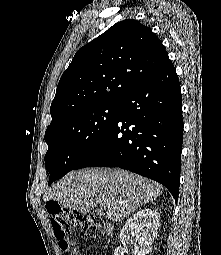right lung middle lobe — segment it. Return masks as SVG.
<instances>
[{
	"mask_svg": "<svg viewBox=\"0 0 221 255\" xmlns=\"http://www.w3.org/2000/svg\"><path fill=\"white\" fill-rule=\"evenodd\" d=\"M119 108V103L87 107L46 130L49 185L74 169L113 123Z\"/></svg>",
	"mask_w": 221,
	"mask_h": 255,
	"instance_id": "right-lung-middle-lobe-1",
	"label": "right lung middle lobe"
}]
</instances>
